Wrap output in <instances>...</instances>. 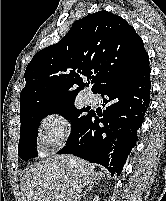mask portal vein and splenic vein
Listing matches in <instances>:
<instances>
[{"instance_id": "1", "label": "portal vein and splenic vein", "mask_w": 166, "mask_h": 201, "mask_svg": "<svg viewBox=\"0 0 166 201\" xmlns=\"http://www.w3.org/2000/svg\"><path fill=\"white\" fill-rule=\"evenodd\" d=\"M56 198H59V196H58V195H56Z\"/></svg>"}]
</instances>
